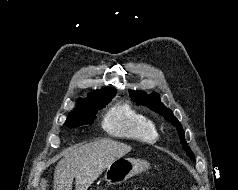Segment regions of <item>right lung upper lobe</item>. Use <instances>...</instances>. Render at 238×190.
Instances as JSON below:
<instances>
[{"label":"right lung upper lobe","instance_id":"obj_1","mask_svg":"<svg viewBox=\"0 0 238 190\" xmlns=\"http://www.w3.org/2000/svg\"><path fill=\"white\" fill-rule=\"evenodd\" d=\"M115 92V90H113L112 88H106V89H102V90H95L93 91L92 93H90L88 95V98H81L77 101V108H81L85 105V101L90 99V98H93L95 96H99V95H105V94H110V93H113Z\"/></svg>","mask_w":238,"mask_h":190}]
</instances>
